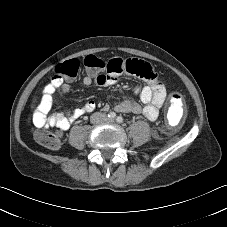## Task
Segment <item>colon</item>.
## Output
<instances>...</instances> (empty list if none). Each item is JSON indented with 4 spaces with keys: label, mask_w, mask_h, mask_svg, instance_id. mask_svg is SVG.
Returning a JSON list of instances; mask_svg holds the SVG:
<instances>
[{
    "label": "colon",
    "mask_w": 227,
    "mask_h": 227,
    "mask_svg": "<svg viewBox=\"0 0 227 227\" xmlns=\"http://www.w3.org/2000/svg\"><path fill=\"white\" fill-rule=\"evenodd\" d=\"M83 65L87 70L93 73H99L104 69L119 72L117 61L111 60L106 64L101 58L95 55H87L83 59ZM130 73H134L143 78L153 77L152 67L145 62L132 60L125 65ZM80 69V62L76 58L69 59L60 63L55 68V74L52 77L47 89L54 91L59 88L64 80L73 79L77 76ZM169 112L179 116L185 109L183 95L179 91H172L168 98ZM34 137L41 145L50 149H57L60 146L61 140L59 135L53 131L39 130L34 132Z\"/></svg>",
    "instance_id": "obj_1"
}]
</instances>
